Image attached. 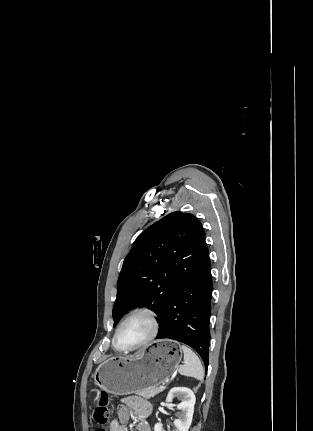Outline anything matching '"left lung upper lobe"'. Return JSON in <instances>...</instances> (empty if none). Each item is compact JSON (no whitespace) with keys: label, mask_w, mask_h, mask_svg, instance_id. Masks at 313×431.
<instances>
[{"label":"left lung upper lobe","mask_w":313,"mask_h":431,"mask_svg":"<svg viewBox=\"0 0 313 431\" xmlns=\"http://www.w3.org/2000/svg\"><path fill=\"white\" fill-rule=\"evenodd\" d=\"M206 251L204 229L189 213L172 212L143 231L123 262L113 307L114 326L135 307L147 306L159 319Z\"/></svg>","instance_id":"5c2ea615"}]
</instances>
